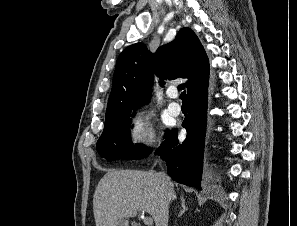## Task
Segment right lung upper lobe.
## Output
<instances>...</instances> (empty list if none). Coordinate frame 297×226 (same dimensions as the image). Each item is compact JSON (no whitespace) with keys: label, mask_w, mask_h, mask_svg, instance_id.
<instances>
[{"label":"right lung upper lobe","mask_w":297,"mask_h":226,"mask_svg":"<svg viewBox=\"0 0 297 226\" xmlns=\"http://www.w3.org/2000/svg\"><path fill=\"white\" fill-rule=\"evenodd\" d=\"M153 73L162 79L188 78V97L208 86L209 61L196 34L182 28L175 39L152 54L142 43L128 46L119 55L107 111L131 110L146 104Z\"/></svg>","instance_id":"cb5924a9"}]
</instances>
